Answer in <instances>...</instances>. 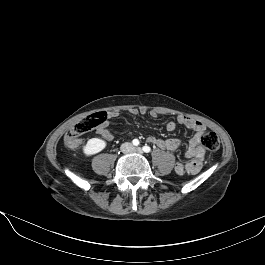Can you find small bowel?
Listing matches in <instances>:
<instances>
[{
  "mask_svg": "<svg viewBox=\"0 0 265 265\" xmlns=\"http://www.w3.org/2000/svg\"><path fill=\"white\" fill-rule=\"evenodd\" d=\"M129 113L132 115L136 114H145L147 113V109L142 107L140 109L132 108L129 110ZM156 111H150V116L153 118L157 117ZM108 118H115L118 116V112L111 111L106 114ZM106 117V118H107ZM177 124H182L185 127L194 131L193 137L189 141V145L186 149L185 156L189 159L188 162H177L175 164V172L179 175L184 173L189 174H197L203 165V160L205 156V150L201 145V137L206 131V126L198 120L190 118L188 116H178L176 121H170L166 125V129L168 131H174L177 127ZM97 133L106 141H112L113 135L109 129L108 121H104L97 129ZM149 141L155 145H157L161 149L165 150H176L181 147L182 141L178 138H168L161 139L157 137H150Z\"/></svg>",
  "mask_w": 265,
  "mask_h": 265,
  "instance_id": "1",
  "label": "small bowel"
}]
</instances>
